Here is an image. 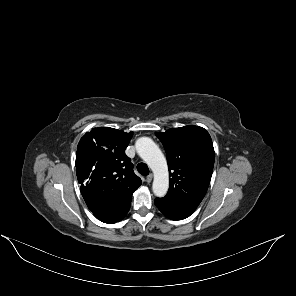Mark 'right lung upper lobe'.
<instances>
[{
    "mask_svg": "<svg viewBox=\"0 0 296 296\" xmlns=\"http://www.w3.org/2000/svg\"><path fill=\"white\" fill-rule=\"evenodd\" d=\"M132 136V132L99 127L81 138L75 166L85 201L127 198L141 185L125 154Z\"/></svg>",
    "mask_w": 296,
    "mask_h": 296,
    "instance_id": "1",
    "label": "right lung upper lobe"
}]
</instances>
